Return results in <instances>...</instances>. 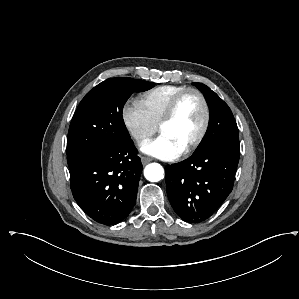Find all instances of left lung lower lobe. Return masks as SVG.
I'll return each instance as SVG.
<instances>
[{
  "label": "left lung lower lobe",
  "mask_w": 299,
  "mask_h": 299,
  "mask_svg": "<svg viewBox=\"0 0 299 299\" xmlns=\"http://www.w3.org/2000/svg\"><path fill=\"white\" fill-rule=\"evenodd\" d=\"M238 161L239 151L212 147L168 165L167 195L177 215L188 222L206 220L232 191Z\"/></svg>",
  "instance_id": "1"
}]
</instances>
